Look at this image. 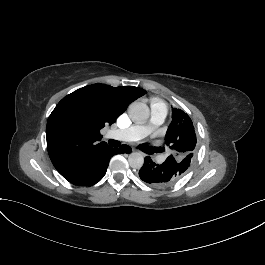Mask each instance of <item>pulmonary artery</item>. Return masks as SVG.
<instances>
[{
  "mask_svg": "<svg viewBox=\"0 0 265 265\" xmlns=\"http://www.w3.org/2000/svg\"><path fill=\"white\" fill-rule=\"evenodd\" d=\"M171 106L169 102H162L160 104H153L150 107V110L152 111L153 117H151L149 120H147L145 123H142L141 125H137L133 129H114L112 136L114 140L117 141H123L126 139H140L142 137H146L150 132H153L156 128H158L161 123L163 122V119L169 117ZM149 130V131H148Z\"/></svg>",
  "mask_w": 265,
  "mask_h": 265,
  "instance_id": "e3ab8cb5",
  "label": "pulmonary artery"
}]
</instances>
